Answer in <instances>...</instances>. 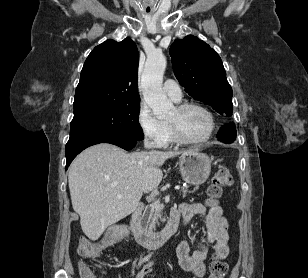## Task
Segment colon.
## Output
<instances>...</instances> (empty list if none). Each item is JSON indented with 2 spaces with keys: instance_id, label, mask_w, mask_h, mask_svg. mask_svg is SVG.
Instances as JSON below:
<instances>
[{
  "instance_id": "1",
  "label": "colon",
  "mask_w": 308,
  "mask_h": 278,
  "mask_svg": "<svg viewBox=\"0 0 308 278\" xmlns=\"http://www.w3.org/2000/svg\"><path fill=\"white\" fill-rule=\"evenodd\" d=\"M232 182L233 180L229 170L225 168L219 169L215 173L208 189V202L210 204L217 203V199L221 196L223 189L230 187ZM129 231V226L109 227L104 240L101 242H95L86 237H80L78 241V253L86 259H94L99 256L102 247H114L115 240L123 242L125 237L130 235ZM227 270V264L219 255L215 254L209 266L208 278H224ZM82 275L83 278H95L92 271L87 267L82 268Z\"/></svg>"
}]
</instances>
